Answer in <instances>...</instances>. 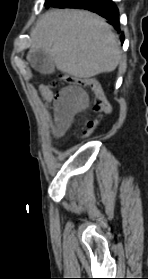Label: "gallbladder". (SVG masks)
Instances as JSON below:
<instances>
[{"label": "gallbladder", "mask_w": 148, "mask_h": 279, "mask_svg": "<svg viewBox=\"0 0 148 279\" xmlns=\"http://www.w3.org/2000/svg\"><path fill=\"white\" fill-rule=\"evenodd\" d=\"M31 66L41 74L50 75L55 72V63L50 55L43 50H38L28 55Z\"/></svg>", "instance_id": "1"}]
</instances>
